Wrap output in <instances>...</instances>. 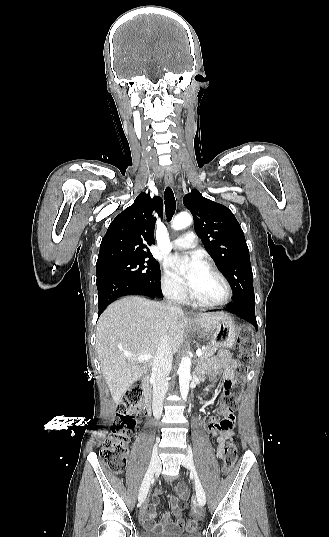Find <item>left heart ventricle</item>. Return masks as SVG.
<instances>
[{"mask_svg": "<svg viewBox=\"0 0 329 537\" xmlns=\"http://www.w3.org/2000/svg\"><path fill=\"white\" fill-rule=\"evenodd\" d=\"M192 293L206 301H219L225 296V288L220 279L205 268Z\"/></svg>", "mask_w": 329, "mask_h": 537, "instance_id": "obj_1", "label": "left heart ventricle"}]
</instances>
